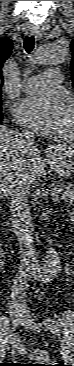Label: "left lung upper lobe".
<instances>
[{"label": "left lung upper lobe", "instance_id": "5c2ea615", "mask_svg": "<svg viewBox=\"0 0 74 366\" xmlns=\"http://www.w3.org/2000/svg\"><path fill=\"white\" fill-rule=\"evenodd\" d=\"M70 49H71L72 56H73L72 61H71V71H72V86L74 87V39L72 40Z\"/></svg>", "mask_w": 74, "mask_h": 366}]
</instances>
